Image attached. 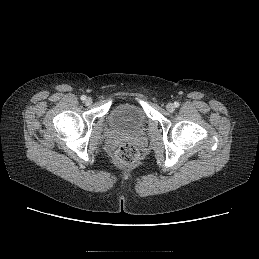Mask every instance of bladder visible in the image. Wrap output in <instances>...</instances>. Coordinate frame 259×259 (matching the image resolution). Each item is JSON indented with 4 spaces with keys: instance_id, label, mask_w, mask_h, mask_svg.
<instances>
[{
    "instance_id": "obj_1",
    "label": "bladder",
    "mask_w": 259,
    "mask_h": 259,
    "mask_svg": "<svg viewBox=\"0 0 259 259\" xmlns=\"http://www.w3.org/2000/svg\"><path fill=\"white\" fill-rule=\"evenodd\" d=\"M107 122L113 129L137 131L146 127L148 117L138 104L119 103L110 108Z\"/></svg>"
}]
</instances>
